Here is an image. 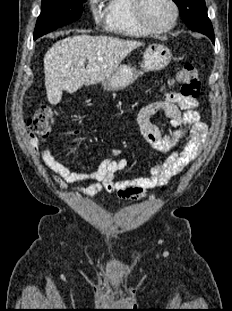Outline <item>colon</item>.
<instances>
[{
    "instance_id": "obj_1",
    "label": "colon",
    "mask_w": 232,
    "mask_h": 311,
    "mask_svg": "<svg viewBox=\"0 0 232 311\" xmlns=\"http://www.w3.org/2000/svg\"><path fill=\"white\" fill-rule=\"evenodd\" d=\"M181 84V94L187 98L197 100L200 97L201 82L197 67L192 63L184 64L176 75ZM53 113L47 107H41L29 122V129L37 134H46L52 124Z\"/></svg>"
}]
</instances>
